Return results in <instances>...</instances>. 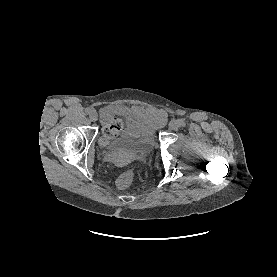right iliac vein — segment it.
<instances>
[{
	"instance_id": "1",
	"label": "right iliac vein",
	"mask_w": 277,
	"mask_h": 277,
	"mask_svg": "<svg viewBox=\"0 0 277 277\" xmlns=\"http://www.w3.org/2000/svg\"><path fill=\"white\" fill-rule=\"evenodd\" d=\"M97 118H98L97 113L95 111H92L90 114L91 121L95 122L97 121Z\"/></svg>"
}]
</instances>
